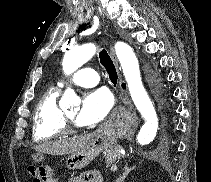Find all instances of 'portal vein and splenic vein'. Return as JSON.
I'll return each instance as SVG.
<instances>
[{
	"label": "portal vein and splenic vein",
	"instance_id": "obj_1",
	"mask_svg": "<svg viewBox=\"0 0 211 182\" xmlns=\"http://www.w3.org/2000/svg\"><path fill=\"white\" fill-rule=\"evenodd\" d=\"M110 170H111L112 172H114V171L117 170V167H116V166H112V167L110 168Z\"/></svg>",
	"mask_w": 211,
	"mask_h": 182
}]
</instances>
